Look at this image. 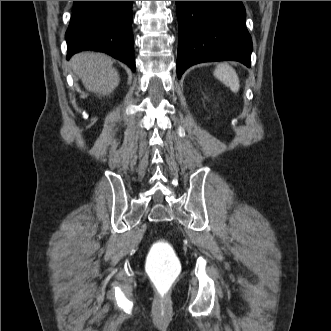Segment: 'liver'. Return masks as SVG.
<instances>
[{
  "label": "liver",
  "instance_id": "liver-1",
  "mask_svg": "<svg viewBox=\"0 0 331 331\" xmlns=\"http://www.w3.org/2000/svg\"><path fill=\"white\" fill-rule=\"evenodd\" d=\"M70 65L85 88L99 95H109L120 82L111 58L105 54L80 52L71 58Z\"/></svg>",
  "mask_w": 331,
  "mask_h": 331
}]
</instances>
